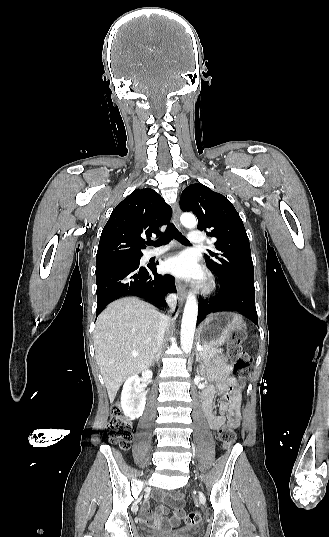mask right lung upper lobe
I'll list each match as a JSON object with an SVG mask.
<instances>
[{"instance_id": "cb5924a9", "label": "right lung upper lobe", "mask_w": 329, "mask_h": 537, "mask_svg": "<svg viewBox=\"0 0 329 537\" xmlns=\"http://www.w3.org/2000/svg\"><path fill=\"white\" fill-rule=\"evenodd\" d=\"M171 208L154 190L136 189L111 213L98 245L96 264L141 257L144 237L159 236Z\"/></svg>"}]
</instances>
